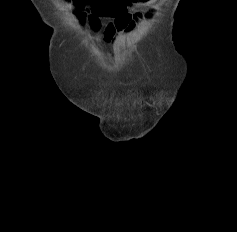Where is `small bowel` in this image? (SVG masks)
<instances>
[{
  "mask_svg": "<svg viewBox=\"0 0 237 232\" xmlns=\"http://www.w3.org/2000/svg\"><path fill=\"white\" fill-rule=\"evenodd\" d=\"M147 1L148 0H143V2ZM141 18L142 14L140 12L136 14H121L117 16L113 22L107 25L105 30V39L107 41L112 40L119 31L133 28L135 24L141 20Z\"/></svg>",
  "mask_w": 237,
  "mask_h": 232,
  "instance_id": "small-bowel-1",
  "label": "small bowel"
}]
</instances>
